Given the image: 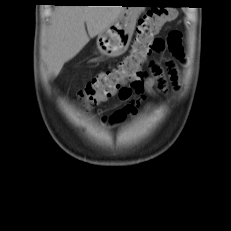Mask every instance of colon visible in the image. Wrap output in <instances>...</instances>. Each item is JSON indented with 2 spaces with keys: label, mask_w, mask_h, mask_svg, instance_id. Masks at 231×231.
Wrapping results in <instances>:
<instances>
[{
  "label": "colon",
  "mask_w": 231,
  "mask_h": 231,
  "mask_svg": "<svg viewBox=\"0 0 231 231\" xmlns=\"http://www.w3.org/2000/svg\"><path fill=\"white\" fill-rule=\"evenodd\" d=\"M176 14L171 8L155 7L148 10L138 21L130 52L116 66L93 77L80 91L84 103L94 106L117 94L124 85L143 80L145 73L142 66L147 58L166 47L157 34Z\"/></svg>",
  "instance_id": "colon-1"
}]
</instances>
